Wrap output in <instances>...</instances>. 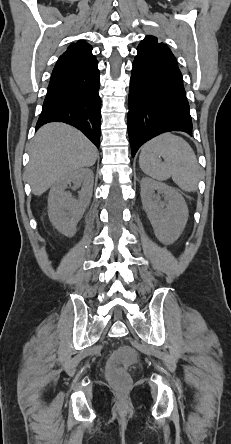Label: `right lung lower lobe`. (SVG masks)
Masks as SVG:
<instances>
[{"label": "right lung lower lobe", "instance_id": "right-lung-lower-lobe-1", "mask_svg": "<svg viewBox=\"0 0 231 444\" xmlns=\"http://www.w3.org/2000/svg\"><path fill=\"white\" fill-rule=\"evenodd\" d=\"M99 76L96 65L81 73L51 78L36 129L48 122H64L81 130L99 147Z\"/></svg>", "mask_w": 231, "mask_h": 444}]
</instances>
